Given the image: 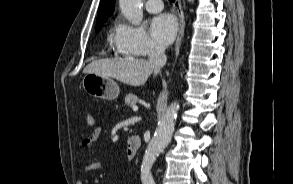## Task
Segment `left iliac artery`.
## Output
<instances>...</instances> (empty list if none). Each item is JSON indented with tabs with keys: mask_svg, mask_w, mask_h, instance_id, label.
<instances>
[{
	"mask_svg": "<svg viewBox=\"0 0 293 184\" xmlns=\"http://www.w3.org/2000/svg\"><path fill=\"white\" fill-rule=\"evenodd\" d=\"M147 184H155V183H147Z\"/></svg>",
	"mask_w": 293,
	"mask_h": 184,
	"instance_id": "obj_1",
	"label": "left iliac artery"
}]
</instances>
